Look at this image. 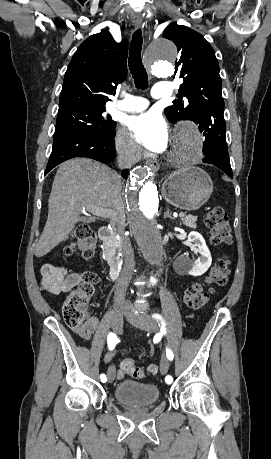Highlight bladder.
Masks as SVG:
<instances>
[{"label":"bladder","instance_id":"bladder-1","mask_svg":"<svg viewBox=\"0 0 271 459\" xmlns=\"http://www.w3.org/2000/svg\"><path fill=\"white\" fill-rule=\"evenodd\" d=\"M159 396L160 390L155 385L124 381L115 387L113 398L122 405H152Z\"/></svg>","mask_w":271,"mask_h":459}]
</instances>
